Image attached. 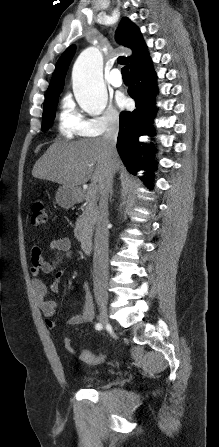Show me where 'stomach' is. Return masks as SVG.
<instances>
[{
  "label": "stomach",
  "instance_id": "1",
  "mask_svg": "<svg viewBox=\"0 0 219 447\" xmlns=\"http://www.w3.org/2000/svg\"><path fill=\"white\" fill-rule=\"evenodd\" d=\"M79 196L78 188L63 185L57 190L56 201L63 208H70L77 202Z\"/></svg>",
  "mask_w": 219,
  "mask_h": 447
}]
</instances>
